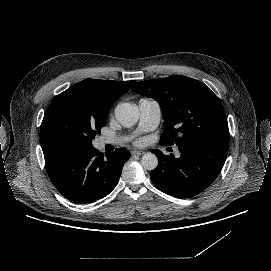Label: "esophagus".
I'll use <instances>...</instances> for the list:
<instances>
[{
    "mask_svg": "<svg viewBox=\"0 0 271 271\" xmlns=\"http://www.w3.org/2000/svg\"><path fill=\"white\" fill-rule=\"evenodd\" d=\"M145 152L144 151H142V150H132L131 151V154L132 155H138V156H141V155H143Z\"/></svg>",
    "mask_w": 271,
    "mask_h": 271,
    "instance_id": "34e87169",
    "label": "esophagus"
}]
</instances>
